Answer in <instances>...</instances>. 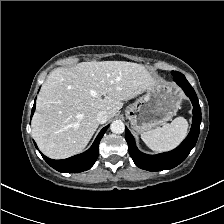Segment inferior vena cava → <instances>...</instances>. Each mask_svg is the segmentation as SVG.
Masks as SVG:
<instances>
[{"label": "inferior vena cava", "mask_w": 224, "mask_h": 224, "mask_svg": "<svg viewBox=\"0 0 224 224\" xmlns=\"http://www.w3.org/2000/svg\"><path fill=\"white\" fill-rule=\"evenodd\" d=\"M108 119H109V115L107 111H104V110L99 111L96 115V120L100 124L106 123Z\"/></svg>", "instance_id": "inferior-vena-cava-1"}]
</instances>
